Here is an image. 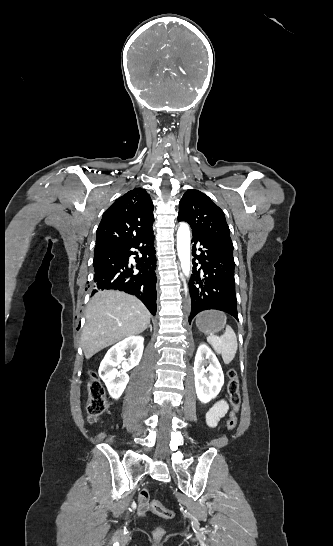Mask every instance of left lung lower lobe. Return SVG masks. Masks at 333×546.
<instances>
[{"label":"left lung lower lobe","mask_w":333,"mask_h":546,"mask_svg":"<svg viewBox=\"0 0 333 546\" xmlns=\"http://www.w3.org/2000/svg\"><path fill=\"white\" fill-rule=\"evenodd\" d=\"M192 242L194 259L189 282V323L199 312L208 309L224 311L238 320L232 245L196 230H192ZM220 263L224 267H220Z\"/></svg>","instance_id":"0a47b994"}]
</instances>
